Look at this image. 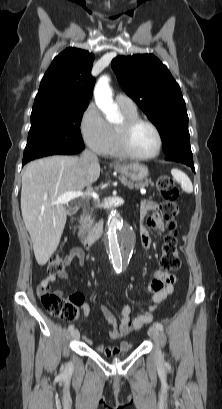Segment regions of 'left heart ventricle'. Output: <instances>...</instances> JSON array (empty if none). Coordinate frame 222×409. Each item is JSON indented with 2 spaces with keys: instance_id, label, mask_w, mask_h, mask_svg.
I'll return each instance as SVG.
<instances>
[{
  "instance_id": "left-heart-ventricle-1",
  "label": "left heart ventricle",
  "mask_w": 222,
  "mask_h": 409,
  "mask_svg": "<svg viewBox=\"0 0 222 409\" xmlns=\"http://www.w3.org/2000/svg\"><path fill=\"white\" fill-rule=\"evenodd\" d=\"M129 145L132 151L138 155L151 154L157 147L156 133L150 126L140 124L131 131Z\"/></svg>"
}]
</instances>
